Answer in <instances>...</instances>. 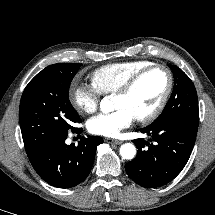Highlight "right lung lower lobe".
Listing matches in <instances>:
<instances>
[{
	"label": "right lung lower lobe",
	"instance_id": "right-lung-lower-lobe-1",
	"mask_svg": "<svg viewBox=\"0 0 215 215\" xmlns=\"http://www.w3.org/2000/svg\"><path fill=\"white\" fill-rule=\"evenodd\" d=\"M73 133H81L75 128ZM67 135L55 139L28 155L38 175L52 186L70 188L81 183L90 173L101 137H82L78 145H66Z\"/></svg>",
	"mask_w": 215,
	"mask_h": 215
}]
</instances>
